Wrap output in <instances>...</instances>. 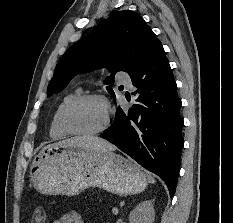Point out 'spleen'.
<instances>
[{
  "label": "spleen",
  "instance_id": "spleen-1",
  "mask_svg": "<svg viewBox=\"0 0 233 223\" xmlns=\"http://www.w3.org/2000/svg\"><path fill=\"white\" fill-rule=\"evenodd\" d=\"M147 177H148L150 183H155V179H154V177H152V175H147Z\"/></svg>",
  "mask_w": 233,
  "mask_h": 223
}]
</instances>
